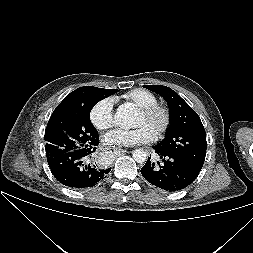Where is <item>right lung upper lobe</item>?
Here are the masks:
<instances>
[{
	"instance_id": "1",
	"label": "right lung upper lobe",
	"mask_w": 253,
	"mask_h": 253,
	"mask_svg": "<svg viewBox=\"0 0 253 253\" xmlns=\"http://www.w3.org/2000/svg\"><path fill=\"white\" fill-rule=\"evenodd\" d=\"M66 98H64V100L57 106V108L61 107L64 104Z\"/></svg>"
}]
</instances>
